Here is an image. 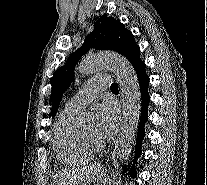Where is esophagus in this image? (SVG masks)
<instances>
[{"mask_svg":"<svg viewBox=\"0 0 207 185\" xmlns=\"http://www.w3.org/2000/svg\"><path fill=\"white\" fill-rule=\"evenodd\" d=\"M108 161H109V159L107 160L106 165L108 164ZM115 166H118V165H115ZM103 167L105 168L106 166L104 165Z\"/></svg>","mask_w":207,"mask_h":185,"instance_id":"obj_1","label":"esophagus"}]
</instances>
